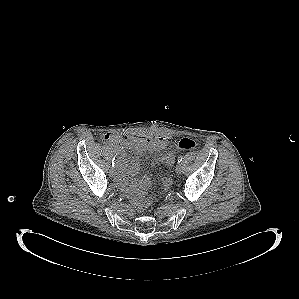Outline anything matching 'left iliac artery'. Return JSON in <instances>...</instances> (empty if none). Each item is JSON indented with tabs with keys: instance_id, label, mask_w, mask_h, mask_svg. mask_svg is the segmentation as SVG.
<instances>
[{
	"instance_id": "44dca946",
	"label": "left iliac artery",
	"mask_w": 299,
	"mask_h": 299,
	"mask_svg": "<svg viewBox=\"0 0 299 299\" xmlns=\"http://www.w3.org/2000/svg\"><path fill=\"white\" fill-rule=\"evenodd\" d=\"M182 160H183V157H182V156H179V157H178V163L182 162Z\"/></svg>"
}]
</instances>
